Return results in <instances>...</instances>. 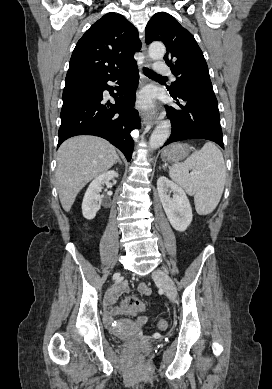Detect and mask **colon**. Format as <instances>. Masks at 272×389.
<instances>
[{
	"mask_svg": "<svg viewBox=\"0 0 272 389\" xmlns=\"http://www.w3.org/2000/svg\"><path fill=\"white\" fill-rule=\"evenodd\" d=\"M144 309H145L144 303L141 302L136 297H132V296L126 297L125 299H123L121 303V310L128 314H137L144 311ZM167 327H168V322L165 319H160L157 322V328L159 330H166ZM136 358L138 361H142L141 355H138Z\"/></svg>",
	"mask_w": 272,
	"mask_h": 389,
	"instance_id": "colon-1",
	"label": "colon"
}]
</instances>
